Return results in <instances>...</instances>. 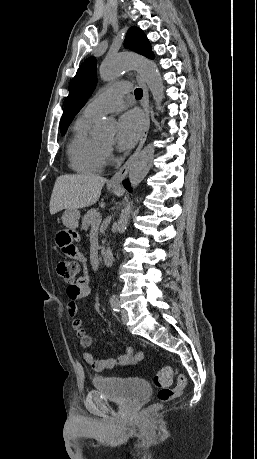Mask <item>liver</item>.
I'll return each instance as SVG.
<instances>
[{"label": "liver", "mask_w": 257, "mask_h": 459, "mask_svg": "<svg viewBox=\"0 0 257 459\" xmlns=\"http://www.w3.org/2000/svg\"><path fill=\"white\" fill-rule=\"evenodd\" d=\"M106 179L93 174L59 176L50 199L52 215L63 209H79L97 202Z\"/></svg>", "instance_id": "6515ba94"}]
</instances>
